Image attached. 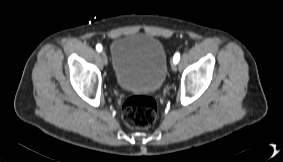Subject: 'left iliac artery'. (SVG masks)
<instances>
[{
    "mask_svg": "<svg viewBox=\"0 0 283 162\" xmlns=\"http://www.w3.org/2000/svg\"><path fill=\"white\" fill-rule=\"evenodd\" d=\"M179 60H180V54L176 53L173 57V62L177 64Z\"/></svg>",
    "mask_w": 283,
    "mask_h": 162,
    "instance_id": "44dca946",
    "label": "left iliac artery"
}]
</instances>
